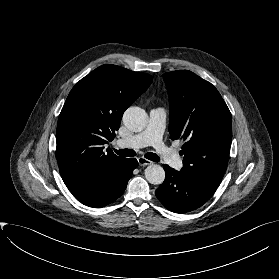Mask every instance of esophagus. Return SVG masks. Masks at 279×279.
<instances>
[{
  "mask_svg": "<svg viewBox=\"0 0 279 279\" xmlns=\"http://www.w3.org/2000/svg\"><path fill=\"white\" fill-rule=\"evenodd\" d=\"M138 163L140 166H148L150 164H152V162L144 157H138L137 158Z\"/></svg>",
  "mask_w": 279,
  "mask_h": 279,
  "instance_id": "34e87169",
  "label": "esophagus"
}]
</instances>
